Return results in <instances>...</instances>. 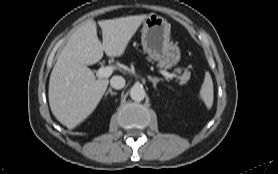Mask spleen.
Instances as JSON below:
<instances>
[{
  "label": "spleen",
  "mask_w": 278,
  "mask_h": 174,
  "mask_svg": "<svg viewBox=\"0 0 278 174\" xmlns=\"http://www.w3.org/2000/svg\"><path fill=\"white\" fill-rule=\"evenodd\" d=\"M199 96L204 101L207 108L210 109L213 105L214 93H213V81L208 71L205 73L204 82L200 89Z\"/></svg>",
  "instance_id": "1"
}]
</instances>
